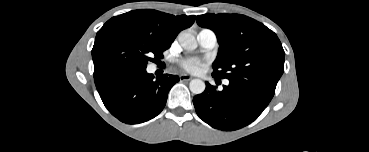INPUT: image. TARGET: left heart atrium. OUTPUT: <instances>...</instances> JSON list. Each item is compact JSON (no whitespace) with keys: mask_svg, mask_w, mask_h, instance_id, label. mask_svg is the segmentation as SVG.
I'll list each match as a JSON object with an SVG mask.
<instances>
[{"mask_svg":"<svg viewBox=\"0 0 369 152\" xmlns=\"http://www.w3.org/2000/svg\"><path fill=\"white\" fill-rule=\"evenodd\" d=\"M180 65L184 70L188 72L197 73L201 68V61L197 58H190L183 60Z\"/></svg>","mask_w":369,"mask_h":152,"instance_id":"obj_1","label":"left heart atrium"}]
</instances>
